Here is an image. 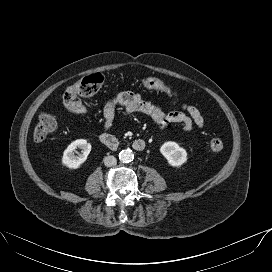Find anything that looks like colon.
<instances>
[{"label": "colon", "instance_id": "5ec220e1", "mask_svg": "<svg viewBox=\"0 0 272 272\" xmlns=\"http://www.w3.org/2000/svg\"><path fill=\"white\" fill-rule=\"evenodd\" d=\"M104 82V77L100 73L91 74L84 77L79 82L66 88L63 93V104L67 110L77 114L86 112V107L81 98L92 97L97 94ZM144 89H153L174 95L175 91L163 80L157 78H147L141 82ZM57 122L53 115L42 113L34 129V140L38 143L44 142L47 137L56 129ZM209 150L213 153L222 151L224 144L218 138L211 139Z\"/></svg>", "mask_w": 272, "mask_h": 272}]
</instances>
